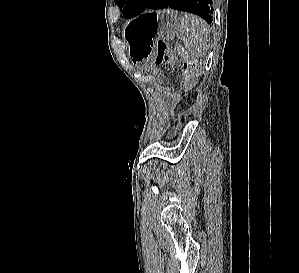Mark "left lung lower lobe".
Here are the masks:
<instances>
[{"instance_id": "left-lung-lower-lobe-1", "label": "left lung lower lobe", "mask_w": 299, "mask_h": 273, "mask_svg": "<svg viewBox=\"0 0 299 273\" xmlns=\"http://www.w3.org/2000/svg\"><path fill=\"white\" fill-rule=\"evenodd\" d=\"M173 8L179 11L194 13L208 24L212 22V0H149L146 9Z\"/></svg>"}]
</instances>
